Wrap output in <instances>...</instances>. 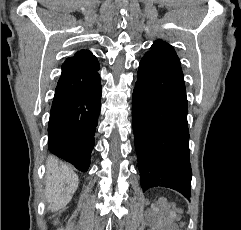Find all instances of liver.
Wrapping results in <instances>:
<instances>
[{
	"label": "liver",
	"instance_id": "1",
	"mask_svg": "<svg viewBox=\"0 0 241 230\" xmlns=\"http://www.w3.org/2000/svg\"><path fill=\"white\" fill-rule=\"evenodd\" d=\"M47 166L48 200L50 209L55 212L66 207L78 187V177L73 169L53 156H49Z\"/></svg>",
	"mask_w": 241,
	"mask_h": 230
}]
</instances>
